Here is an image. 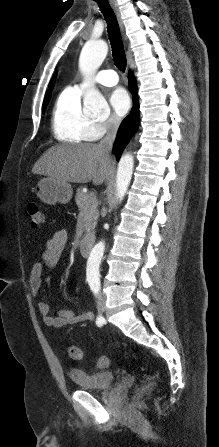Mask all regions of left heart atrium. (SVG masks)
<instances>
[{
    "mask_svg": "<svg viewBox=\"0 0 219 447\" xmlns=\"http://www.w3.org/2000/svg\"><path fill=\"white\" fill-rule=\"evenodd\" d=\"M109 103L113 112L118 116H124L131 107V99L123 88H117L109 96Z\"/></svg>",
    "mask_w": 219,
    "mask_h": 447,
    "instance_id": "left-heart-atrium-1",
    "label": "left heart atrium"
}]
</instances>
